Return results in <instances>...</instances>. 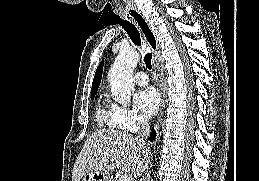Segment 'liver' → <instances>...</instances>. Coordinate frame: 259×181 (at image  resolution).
Wrapping results in <instances>:
<instances>
[{"instance_id":"obj_1","label":"liver","mask_w":259,"mask_h":181,"mask_svg":"<svg viewBox=\"0 0 259 181\" xmlns=\"http://www.w3.org/2000/svg\"><path fill=\"white\" fill-rule=\"evenodd\" d=\"M150 162V153L137 137L117 131L98 130L88 135L72 171V181H80L92 170L109 172L115 168L137 178Z\"/></svg>"}]
</instances>
